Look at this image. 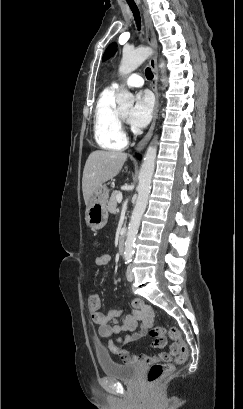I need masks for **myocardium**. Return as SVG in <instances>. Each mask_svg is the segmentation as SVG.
I'll return each instance as SVG.
<instances>
[{
  "mask_svg": "<svg viewBox=\"0 0 243 409\" xmlns=\"http://www.w3.org/2000/svg\"><path fill=\"white\" fill-rule=\"evenodd\" d=\"M117 116H118L119 121L124 120V117L120 114L119 110H117Z\"/></svg>",
  "mask_w": 243,
  "mask_h": 409,
  "instance_id": "myocardium-1",
  "label": "myocardium"
}]
</instances>
